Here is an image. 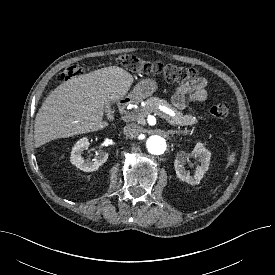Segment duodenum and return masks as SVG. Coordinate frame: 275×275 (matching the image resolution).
<instances>
[{"label": "duodenum", "instance_id": "1", "mask_svg": "<svg viewBox=\"0 0 275 275\" xmlns=\"http://www.w3.org/2000/svg\"><path fill=\"white\" fill-rule=\"evenodd\" d=\"M133 101H134V98H132V97H126V98L122 99L121 102L119 103L120 111L122 113L125 112L126 109L128 108V106L133 103Z\"/></svg>", "mask_w": 275, "mask_h": 275}]
</instances>
